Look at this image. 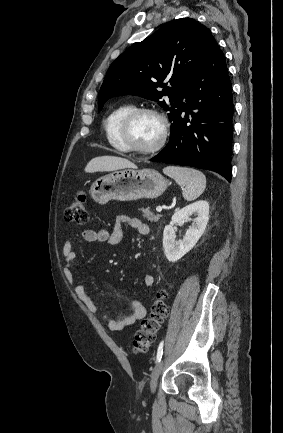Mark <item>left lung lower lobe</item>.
Wrapping results in <instances>:
<instances>
[{"label": "left lung lower lobe", "mask_w": 283, "mask_h": 433, "mask_svg": "<svg viewBox=\"0 0 283 433\" xmlns=\"http://www.w3.org/2000/svg\"><path fill=\"white\" fill-rule=\"evenodd\" d=\"M187 105L173 121L170 140L154 162L217 172L231 181L232 86L223 52L215 44L186 90Z\"/></svg>", "instance_id": "0a47b994"}]
</instances>
